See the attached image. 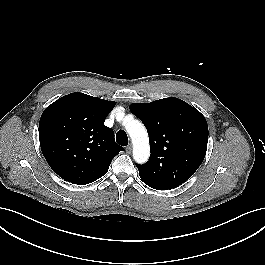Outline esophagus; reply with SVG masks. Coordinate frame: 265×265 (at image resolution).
I'll return each mask as SVG.
<instances>
[{"label":"esophagus","mask_w":265,"mask_h":265,"mask_svg":"<svg viewBox=\"0 0 265 265\" xmlns=\"http://www.w3.org/2000/svg\"><path fill=\"white\" fill-rule=\"evenodd\" d=\"M132 151V145L129 144L127 147H126V153L130 154Z\"/></svg>","instance_id":"obj_1"}]
</instances>
